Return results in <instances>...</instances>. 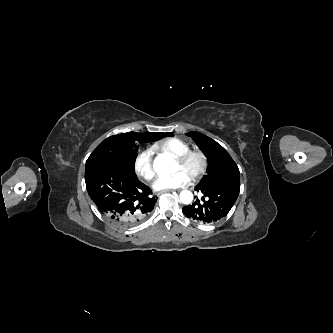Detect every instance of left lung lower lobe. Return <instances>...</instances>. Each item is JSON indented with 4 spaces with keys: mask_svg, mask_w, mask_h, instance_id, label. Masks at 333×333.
I'll list each match as a JSON object with an SVG mask.
<instances>
[{
    "mask_svg": "<svg viewBox=\"0 0 333 333\" xmlns=\"http://www.w3.org/2000/svg\"><path fill=\"white\" fill-rule=\"evenodd\" d=\"M207 197L203 203L196 200L192 205L184 206L182 211L190 219L197 222L208 224L218 222L225 217L234 205L240 191V181L233 180L224 183L215 184L209 187H195ZM228 194L223 200L224 194Z\"/></svg>",
    "mask_w": 333,
    "mask_h": 333,
    "instance_id": "obj_1",
    "label": "left lung lower lobe"
}]
</instances>
